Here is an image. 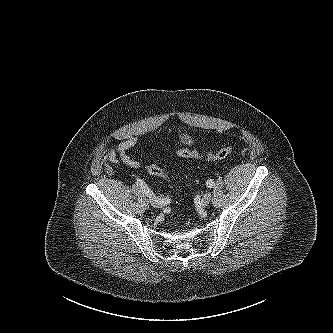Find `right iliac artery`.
Returning <instances> with one entry per match:
<instances>
[{
    "mask_svg": "<svg viewBox=\"0 0 333 333\" xmlns=\"http://www.w3.org/2000/svg\"><path fill=\"white\" fill-rule=\"evenodd\" d=\"M136 184H137V186H139L142 189V191L150 199H156L157 201H159L163 205H166V204L170 203V198L169 197H165V198L156 197L155 194L148 188L147 184L142 179L137 178L136 179Z\"/></svg>",
    "mask_w": 333,
    "mask_h": 333,
    "instance_id": "obj_1",
    "label": "right iliac artery"
}]
</instances>
